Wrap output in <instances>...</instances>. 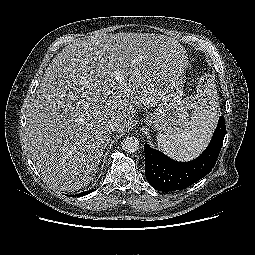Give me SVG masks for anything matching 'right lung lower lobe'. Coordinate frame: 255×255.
<instances>
[{
  "label": "right lung lower lobe",
  "mask_w": 255,
  "mask_h": 255,
  "mask_svg": "<svg viewBox=\"0 0 255 255\" xmlns=\"http://www.w3.org/2000/svg\"><path fill=\"white\" fill-rule=\"evenodd\" d=\"M93 190H89V191H85V192H82L80 194H77V196H83V195H87L89 193H91ZM71 196H76V195H71Z\"/></svg>",
  "instance_id": "right-lung-lower-lobe-1"
}]
</instances>
